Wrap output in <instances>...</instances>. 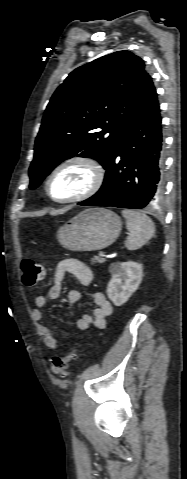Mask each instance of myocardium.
Masks as SVG:
<instances>
[{
  "label": "myocardium",
  "mask_w": 187,
  "mask_h": 479,
  "mask_svg": "<svg viewBox=\"0 0 187 479\" xmlns=\"http://www.w3.org/2000/svg\"><path fill=\"white\" fill-rule=\"evenodd\" d=\"M72 165H82L89 170L90 181H89L87 187L84 190H82L81 192H79L78 194H76L72 197H69V198L58 199V198L53 197L52 194L50 193V184H51L52 180L61 171H63L64 169H66L67 167L72 166ZM104 178H105L104 169H103L102 165L95 158H93L91 156H88V155H74V156L66 158L65 160L60 162L51 171V173L49 174V176L47 177V179L45 181L44 189H45V193H46L47 197L55 203H59V204L76 203V202L86 200V199L92 197L93 195H95L100 190V188L102 187L103 182H104Z\"/></svg>",
  "instance_id": "f54148a6"
}]
</instances>
